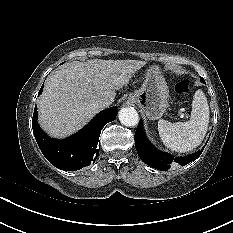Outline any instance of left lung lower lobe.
I'll return each mask as SVG.
<instances>
[{
  "label": "left lung lower lobe",
  "mask_w": 233,
  "mask_h": 233,
  "mask_svg": "<svg viewBox=\"0 0 233 233\" xmlns=\"http://www.w3.org/2000/svg\"><path fill=\"white\" fill-rule=\"evenodd\" d=\"M142 126V121H140V124L138 125L137 131L135 133V147L141 160L150 167L165 171L175 163L184 166L196 160L203 151L202 149L201 151L186 157H174L170 154L158 151L146 138Z\"/></svg>",
  "instance_id": "1"
}]
</instances>
